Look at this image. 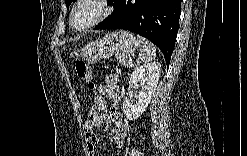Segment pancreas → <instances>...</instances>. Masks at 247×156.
<instances>
[{
	"instance_id": "cf45deb5",
	"label": "pancreas",
	"mask_w": 247,
	"mask_h": 156,
	"mask_svg": "<svg viewBox=\"0 0 247 156\" xmlns=\"http://www.w3.org/2000/svg\"><path fill=\"white\" fill-rule=\"evenodd\" d=\"M116 58L124 66H127L129 64L128 61L131 59V57L129 55L121 54V53H118L116 55Z\"/></svg>"
}]
</instances>
